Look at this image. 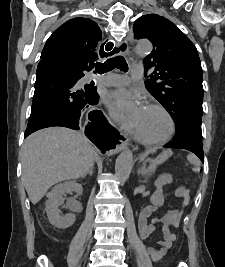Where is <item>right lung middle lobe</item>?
Here are the masks:
<instances>
[{"mask_svg":"<svg viewBox=\"0 0 225 267\" xmlns=\"http://www.w3.org/2000/svg\"><path fill=\"white\" fill-rule=\"evenodd\" d=\"M85 87L87 88V90L93 94L94 98L95 99H98V95H97V92H96V88H93V87H90L88 85H85Z\"/></svg>","mask_w":225,"mask_h":267,"instance_id":"obj_1","label":"right lung middle lobe"}]
</instances>
